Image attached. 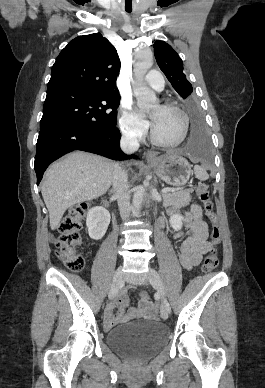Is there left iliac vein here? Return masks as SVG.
<instances>
[{
	"instance_id": "1",
	"label": "left iliac vein",
	"mask_w": 265,
	"mask_h": 388,
	"mask_svg": "<svg viewBox=\"0 0 265 388\" xmlns=\"http://www.w3.org/2000/svg\"><path fill=\"white\" fill-rule=\"evenodd\" d=\"M149 281L151 285L157 290L160 296V299H161L160 314H161V317L164 320H166L168 319L169 311L166 305L165 290L159 274L153 268L149 269Z\"/></svg>"
}]
</instances>
